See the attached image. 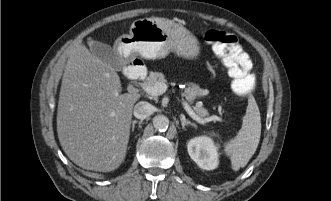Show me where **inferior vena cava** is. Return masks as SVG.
I'll list each match as a JSON object with an SVG mask.
<instances>
[{
  "label": "inferior vena cava",
  "instance_id": "1",
  "mask_svg": "<svg viewBox=\"0 0 331 201\" xmlns=\"http://www.w3.org/2000/svg\"><path fill=\"white\" fill-rule=\"evenodd\" d=\"M133 113L136 118L145 119L153 113V106L146 101H140L134 106Z\"/></svg>",
  "mask_w": 331,
  "mask_h": 201
}]
</instances>
